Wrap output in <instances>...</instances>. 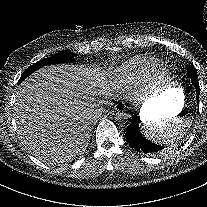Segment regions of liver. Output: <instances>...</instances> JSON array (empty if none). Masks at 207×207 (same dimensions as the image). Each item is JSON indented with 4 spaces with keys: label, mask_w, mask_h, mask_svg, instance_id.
<instances>
[{
    "label": "liver",
    "mask_w": 207,
    "mask_h": 207,
    "mask_svg": "<svg viewBox=\"0 0 207 207\" xmlns=\"http://www.w3.org/2000/svg\"><path fill=\"white\" fill-rule=\"evenodd\" d=\"M93 73L80 66L53 65L21 83L15 121L20 139L34 156H66L82 147L97 111Z\"/></svg>",
    "instance_id": "6515ba94"
}]
</instances>
